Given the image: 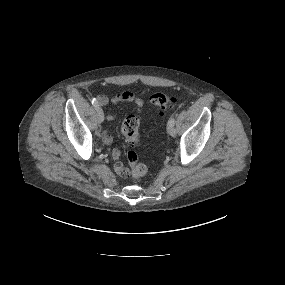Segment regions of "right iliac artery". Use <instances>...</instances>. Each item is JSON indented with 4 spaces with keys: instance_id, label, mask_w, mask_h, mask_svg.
Returning <instances> with one entry per match:
<instances>
[{
    "instance_id": "1",
    "label": "right iliac artery",
    "mask_w": 285,
    "mask_h": 285,
    "mask_svg": "<svg viewBox=\"0 0 285 285\" xmlns=\"http://www.w3.org/2000/svg\"><path fill=\"white\" fill-rule=\"evenodd\" d=\"M92 105L95 107V109H96L97 107H99V104H98V101H97L96 98H93V99H92Z\"/></svg>"
}]
</instances>
